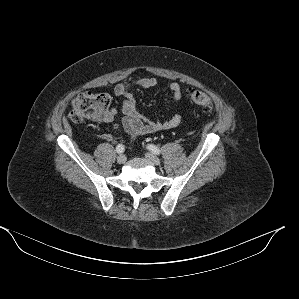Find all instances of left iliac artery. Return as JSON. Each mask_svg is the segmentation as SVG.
Here are the masks:
<instances>
[{"label":"left iliac artery","instance_id":"44dca946","mask_svg":"<svg viewBox=\"0 0 299 299\" xmlns=\"http://www.w3.org/2000/svg\"><path fill=\"white\" fill-rule=\"evenodd\" d=\"M147 148H148L152 153H154V154H157V155L160 154V150H159V148H158L157 146H155V145L149 144V145L147 146Z\"/></svg>","mask_w":299,"mask_h":299}]
</instances>
